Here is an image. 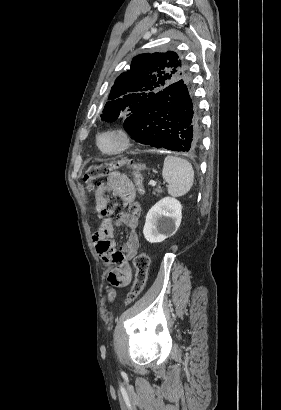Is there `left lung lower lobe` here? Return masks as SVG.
<instances>
[{
  "label": "left lung lower lobe",
  "instance_id": "0a47b994",
  "mask_svg": "<svg viewBox=\"0 0 281 410\" xmlns=\"http://www.w3.org/2000/svg\"><path fill=\"white\" fill-rule=\"evenodd\" d=\"M124 127L141 144L178 152L196 151L202 130L189 79L153 95L141 112L126 118Z\"/></svg>",
  "mask_w": 281,
  "mask_h": 410
}]
</instances>
